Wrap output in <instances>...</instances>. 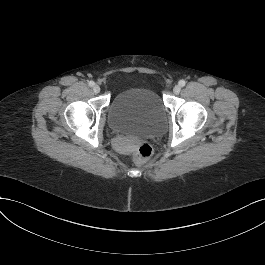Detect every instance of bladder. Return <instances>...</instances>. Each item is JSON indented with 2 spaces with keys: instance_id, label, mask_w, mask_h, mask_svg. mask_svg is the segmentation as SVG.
I'll return each mask as SVG.
<instances>
[{
  "instance_id": "obj_1",
  "label": "bladder",
  "mask_w": 265,
  "mask_h": 265,
  "mask_svg": "<svg viewBox=\"0 0 265 265\" xmlns=\"http://www.w3.org/2000/svg\"><path fill=\"white\" fill-rule=\"evenodd\" d=\"M165 106L152 89L136 88L117 94L107 109L112 131L132 135L163 129Z\"/></svg>"
}]
</instances>
